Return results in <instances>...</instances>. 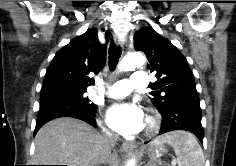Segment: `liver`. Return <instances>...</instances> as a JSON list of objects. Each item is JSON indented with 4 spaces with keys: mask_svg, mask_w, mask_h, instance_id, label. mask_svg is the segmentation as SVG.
Returning a JSON list of instances; mask_svg holds the SVG:
<instances>
[{
    "mask_svg": "<svg viewBox=\"0 0 236 166\" xmlns=\"http://www.w3.org/2000/svg\"><path fill=\"white\" fill-rule=\"evenodd\" d=\"M34 165L117 166V155L105 148L103 135L74 118H58L36 134Z\"/></svg>",
    "mask_w": 236,
    "mask_h": 166,
    "instance_id": "1",
    "label": "liver"
}]
</instances>
